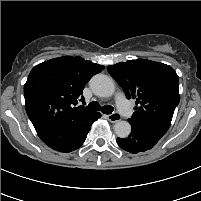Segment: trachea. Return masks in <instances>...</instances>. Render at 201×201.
Wrapping results in <instances>:
<instances>
[{"instance_id": "obj_1", "label": "trachea", "mask_w": 201, "mask_h": 201, "mask_svg": "<svg viewBox=\"0 0 201 201\" xmlns=\"http://www.w3.org/2000/svg\"><path fill=\"white\" fill-rule=\"evenodd\" d=\"M87 108L92 111H100L104 114H111L114 111V108L111 105H105L103 107L96 101H92L88 104Z\"/></svg>"}]
</instances>
